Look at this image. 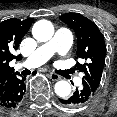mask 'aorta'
Segmentation results:
<instances>
[{
  "label": "aorta",
  "instance_id": "1",
  "mask_svg": "<svg viewBox=\"0 0 117 117\" xmlns=\"http://www.w3.org/2000/svg\"><path fill=\"white\" fill-rule=\"evenodd\" d=\"M33 37L39 42H47L54 35V27L50 21L40 20L32 28ZM55 93L61 97H68L71 93V85L67 81H58L54 87Z\"/></svg>",
  "mask_w": 117,
  "mask_h": 117
}]
</instances>
